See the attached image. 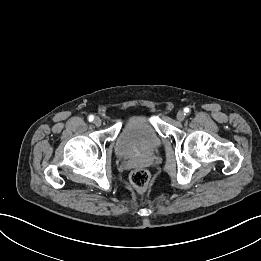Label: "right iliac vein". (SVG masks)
<instances>
[{"instance_id":"1","label":"right iliac vein","mask_w":261,"mask_h":261,"mask_svg":"<svg viewBox=\"0 0 261 261\" xmlns=\"http://www.w3.org/2000/svg\"><path fill=\"white\" fill-rule=\"evenodd\" d=\"M93 123H94L95 126L99 127V126H101L102 121H101V119L99 117H96L94 119Z\"/></svg>"}]
</instances>
